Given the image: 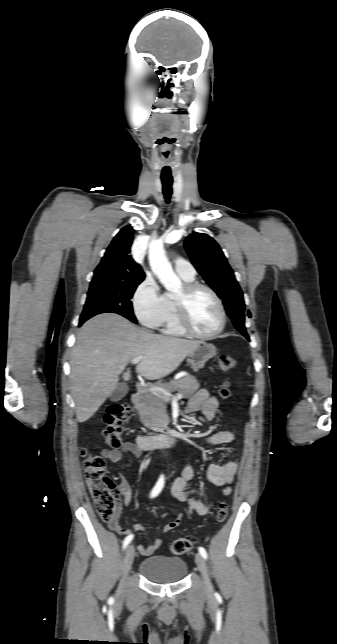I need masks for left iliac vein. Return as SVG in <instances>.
Instances as JSON below:
<instances>
[{"label":"left iliac vein","instance_id":"4c4485c4","mask_svg":"<svg viewBox=\"0 0 337 644\" xmlns=\"http://www.w3.org/2000/svg\"><path fill=\"white\" fill-rule=\"evenodd\" d=\"M195 562H196V565L198 567V570L200 571V573H201V575L203 577L205 590H206V592L209 593V592L212 591V585H211V582H210V579H209V576H208V569H207L206 562H205V560L203 559V557L200 554H196Z\"/></svg>","mask_w":337,"mask_h":644}]
</instances>
